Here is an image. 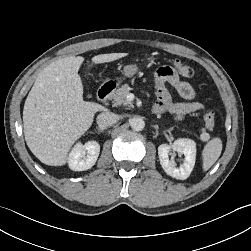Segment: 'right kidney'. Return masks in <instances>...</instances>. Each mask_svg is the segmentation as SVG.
I'll list each match as a JSON object with an SVG mask.
<instances>
[{"instance_id":"ca27d5eb","label":"right kidney","mask_w":251,"mask_h":251,"mask_svg":"<svg viewBox=\"0 0 251 251\" xmlns=\"http://www.w3.org/2000/svg\"><path fill=\"white\" fill-rule=\"evenodd\" d=\"M100 152V145L96 141H88L84 145L78 143L68 157V164L73 171L90 169L96 163Z\"/></svg>"}]
</instances>
